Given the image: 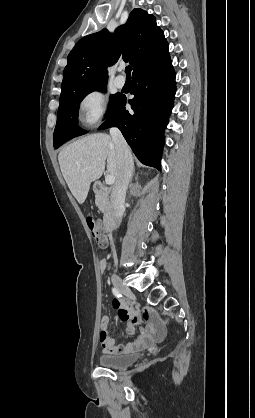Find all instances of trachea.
Returning <instances> with one entry per match:
<instances>
[{
  "instance_id": "3493384b",
  "label": "trachea",
  "mask_w": 255,
  "mask_h": 418,
  "mask_svg": "<svg viewBox=\"0 0 255 418\" xmlns=\"http://www.w3.org/2000/svg\"><path fill=\"white\" fill-rule=\"evenodd\" d=\"M131 70H132L131 66H127V67L125 68V73H126L127 77H129V76H130V74H131Z\"/></svg>"
}]
</instances>
